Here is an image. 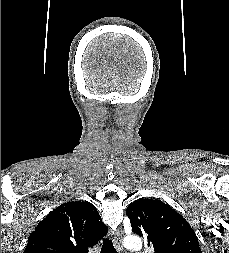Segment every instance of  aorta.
Listing matches in <instances>:
<instances>
[{
    "instance_id": "1",
    "label": "aorta",
    "mask_w": 229,
    "mask_h": 253,
    "mask_svg": "<svg viewBox=\"0 0 229 253\" xmlns=\"http://www.w3.org/2000/svg\"><path fill=\"white\" fill-rule=\"evenodd\" d=\"M125 247L132 250H140L142 247L141 239L137 236H131L125 241Z\"/></svg>"
}]
</instances>
